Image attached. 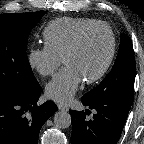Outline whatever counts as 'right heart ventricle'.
<instances>
[{"label":"right heart ventricle","instance_id":"e07e8e85","mask_svg":"<svg viewBox=\"0 0 144 144\" xmlns=\"http://www.w3.org/2000/svg\"><path fill=\"white\" fill-rule=\"evenodd\" d=\"M99 22L92 18L63 17L51 21L43 31L45 45L60 57L84 27Z\"/></svg>","mask_w":144,"mask_h":144}]
</instances>
